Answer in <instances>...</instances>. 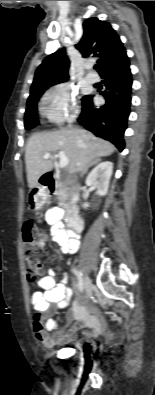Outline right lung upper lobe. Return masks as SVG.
Wrapping results in <instances>:
<instances>
[{
  "instance_id": "right-lung-upper-lobe-1",
  "label": "right lung upper lobe",
  "mask_w": 155,
  "mask_h": 395,
  "mask_svg": "<svg viewBox=\"0 0 155 395\" xmlns=\"http://www.w3.org/2000/svg\"><path fill=\"white\" fill-rule=\"evenodd\" d=\"M83 29V37L75 47L83 57L93 55L100 58V75L110 68L129 63L123 43L109 23L89 18L84 21ZM69 66L70 60L65 49L46 57L36 70L29 98L48 86L66 81Z\"/></svg>"
}]
</instances>
